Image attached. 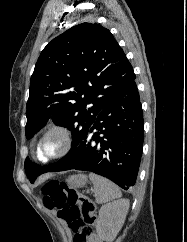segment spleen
I'll use <instances>...</instances> for the list:
<instances>
[{"mask_svg":"<svg viewBox=\"0 0 187 242\" xmlns=\"http://www.w3.org/2000/svg\"><path fill=\"white\" fill-rule=\"evenodd\" d=\"M89 178L94 186L97 203L102 204L121 197V191L118 186L108 179L94 173H90Z\"/></svg>","mask_w":187,"mask_h":242,"instance_id":"spleen-1","label":"spleen"}]
</instances>
